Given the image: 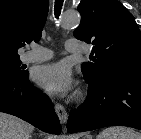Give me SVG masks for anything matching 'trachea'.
I'll list each match as a JSON object with an SVG mask.
<instances>
[{"instance_id":"3493384b","label":"trachea","mask_w":141,"mask_h":139,"mask_svg":"<svg viewBox=\"0 0 141 139\" xmlns=\"http://www.w3.org/2000/svg\"><path fill=\"white\" fill-rule=\"evenodd\" d=\"M63 2H64V0H55L54 14H55L56 18H58L60 16Z\"/></svg>"}]
</instances>
